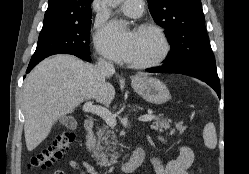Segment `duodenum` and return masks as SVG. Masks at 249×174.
<instances>
[{
  "label": "duodenum",
  "instance_id": "duodenum-1",
  "mask_svg": "<svg viewBox=\"0 0 249 174\" xmlns=\"http://www.w3.org/2000/svg\"><path fill=\"white\" fill-rule=\"evenodd\" d=\"M95 127V122L92 119L84 121V129L87 133L88 140L91 139V133ZM145 151L142 147H137L133 153L132 158L127 163L119 166L118 170L123 174H129L135 171L144 161Z\"/></svg>",
  "mask_w": 249,
  "mask_h": 174
}]
</instances>
